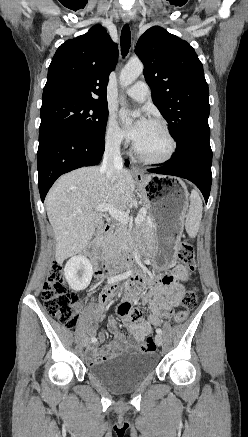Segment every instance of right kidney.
<instances>
[{
	"label": "right kidney",
	"instance_id": "ca27d5eb",
	"mask_svg": "<svg viewBox=\"0 0 248 437\" xmlns=\"http://www.w3.org/2000/svg\"><path fill=\"white\" fill-rule=\"evenodd\" d=\"M93 269L90 261L82 255L70 258L64 268V276L74 291H81L91 282Z\"/></svg>",
	"mask_w": 248,
	"mask_h": 437
}]
</instances>
